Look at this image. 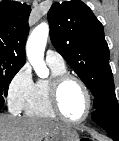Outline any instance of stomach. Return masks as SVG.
<instances>
[{"mask_svg": "<svg viewBox=\"0 0 119 141\" xmlns=\"http://www.w3.org/2000/svg\"><path fill=\"white\" fill-rule=\"evenodd\" d=\"M45 141H79V136L73 128L64 126L46 136Z\"/></svg>", "mask_w": 119, "mask_h": 141, "instance_id": "0dacf381", "label": "stomach"}]
</instances>
